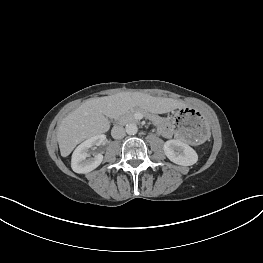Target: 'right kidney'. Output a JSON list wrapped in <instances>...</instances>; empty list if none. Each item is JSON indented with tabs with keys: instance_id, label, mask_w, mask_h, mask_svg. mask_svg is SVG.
I'll return each instance as SVG.
<instances>
[{
	"instance_id": "right-kidney-1",
	"label": "right kidney",
	"mask_w": 263,
	"mask_h": 263,
	"mask_svg": "<svg viewBox=\"0 0 263 263\" xmlns=\"http://www.w3.org/2000/svg\"><path fill=\"white\" fill-rule=\"evenodd\" d=\"M105 140V135H96L81 143L72 154V170L76 173H88L97 168L103 161V155L97 153L91 157L89 150L100 146Z\"/></svg>"
}]
</instances>
